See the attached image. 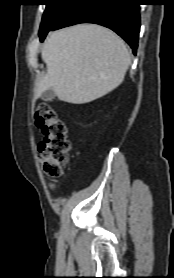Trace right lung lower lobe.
Masks as SVG:
<instances>
[{
  "instance_id": "obj_1",
  "label": "right lung lower lobe",
  "mask_w": 174,
  "mask_h": 278,
  "mask_svg": "<svg viewBox=\"0 0 174 278\" xmlns=\"http://www.w3.org/2000/svg\"><path fill=\"white\" fill-rule=\"evenodd\" d=\"M140 0H75L59 21L49 30L39 34L41 41L50 30L77 23H96L120 35L136 54L140 30Z\"/></svg>"
}]
</instances>
